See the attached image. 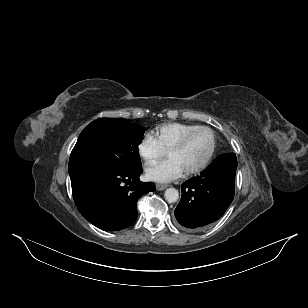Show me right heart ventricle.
Returning <instances> with one entry per match:
<instances>
[{"label": "right heart ventricle", "instance_id": "1", "mask_svg": "<svg viewBox=\"0 0 308 308\" xmlns=\"http://www.w3.org/2000/svg\"><path fill=\"white\" fill-rule=\"evenodd\" d=\"M199 125L181 122H169L158 125L154 128L152 136L163 150L178 141L186 132L198 127Z\"/></svg>", "mask_w": 308, "mask_h": 308}]
</instances>
